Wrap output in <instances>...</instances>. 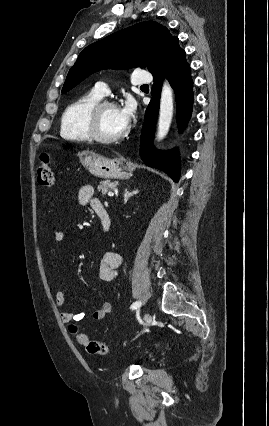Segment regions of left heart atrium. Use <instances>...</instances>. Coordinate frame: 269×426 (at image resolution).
<instances>
[{"label": "left heart atrium", "instance_id": "left-heart-atrium-1", "mask_svg": "<svg viewBox=\"0 0 269 426\" xmlns=\"http://www.w3.org/2000/svg\"><path fill=\"white\" fill-rule=\"evenodd\" d=\"M118 109L121 121L127 126L134 114V106L131 103H127L124 107Z\"/></svg>", "mask_w": 269, "mask_h": 426}]
</instances>
